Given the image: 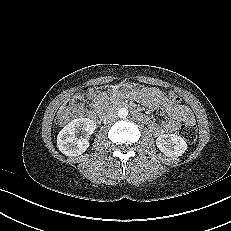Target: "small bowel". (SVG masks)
Listing matches in <instances>:
<instances>
[{
	"instance_id": "small-bowel-1",
	"label": "small bowel",
	"mask_w": 231,
	"mask_h": 231,
	"mask_svg": "<svg viewBox=\"0 0 231 231\" xmlns=\"http://www.w3.org/2000/svg\"><path fill=\"white\" fill-rule=\"evenodd\" d=\"M118 92V90L102 93L91 92L92 107L97 108L111 95L118 94ZM131 97L152 110L163 109L165 111L167 118L161 124L152 122L149 117L143 116V121L149 125L155 135L175 132L180 122L194 123V115L188 107L171 103L168 97L157 88L144 87L132 92Z\"/></svg>"
}]
</instances>
